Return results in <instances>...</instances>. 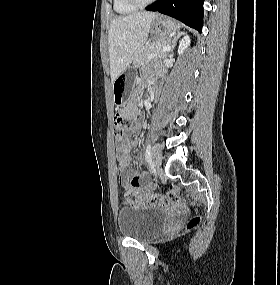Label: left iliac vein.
Listing matches in <instances>:
<instances>
[{"label":"left iliac vein","mask_w":280,"mask_h":285,"mask_svg":"<svg viewBox=\"0 0 280 285\" xmlns=\"http://www.w3.org/2000/svg\"><path fill=\"white\" fill-rule=\"evenodd\" d=\"M152 164L155 170H159L162 165V154L158 146H155L152 152Z\"/></svg>","instance_id":"obj_1"}]
</instances>
